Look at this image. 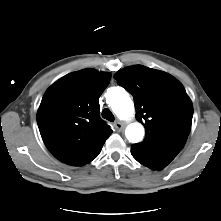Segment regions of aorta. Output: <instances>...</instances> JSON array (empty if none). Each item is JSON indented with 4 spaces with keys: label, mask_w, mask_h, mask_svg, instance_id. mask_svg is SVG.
Segmentation results:
<instances>
[{
    "label": "aorta",
    "mask_w": 221,
    "mask_h": 221,
    "mask_svg": "<svg viewBox=\"0 0 221 221\" xmlns=\"http://www.w3.org/2000/svg\"><path fill=\"white\" fill-rule=\"evenodd\" d=\"M108 102L113 112L122 120L133 117L134 104L123 88H112L108 94ZM144 127L140 123H131L126 127L125 136L131 143H138L144 137Z\"/></svg>",
    "instance_id": "obj_1"
}]
</instances>
